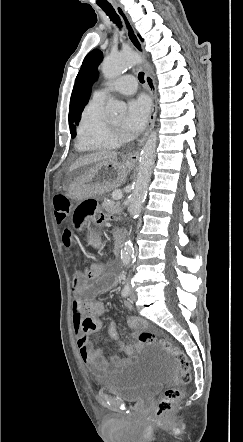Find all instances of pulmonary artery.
Masks as SVG:
<instances>
[{
  "label": "pulmonary artery",
  "mask_w": 243,
  "mask_h": 442,
  "mask_svg": "<svg viewBox=\"0 0 243 442\" xmlns=\"http://www.w3.org/2000/svg\"><path fill=\"white\" fill-rule=\"evenodd\" d=\"M136 79L132 75H124L109 84L107 87L94 92L93 98L104 101L109 93L132 94L136 90Z\"/></svg>",
  "instance_id": "obj_1"
}]
</instances>
